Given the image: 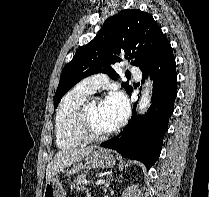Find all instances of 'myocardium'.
I'll list each match as a JSON object with an SVG mask.
<instances>
[{
    "instance_id": "myocardium-1",
    "label": "myocardium",
    "mask_w": 209,
    "mask_h": 197,
    "mask_svg": "<svg viewBox=\"0 0 209 197\" xmlns=\"http://www.w3.org/2000/svg\"><path fill=\"white\" fill-rule=\"evenodd\" d=\"M100 100L99 97H89L85 100L75 111L72 121L71 130L73 135L81 140L82 142H97L101 141L114 132V128H111L102 133H94L90 130L88 121V111L90 106L95 102Z\"/></svg>"
}]
</instances>
